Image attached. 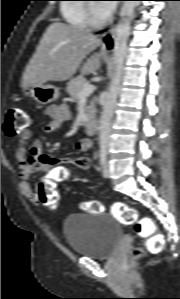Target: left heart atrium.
Returning a JSON list of instances; mask_svg holds the SVG:
<instances>
[{"label": "left heart atrium", "mask_w": 180, "mask_h": 299, "mask_svg": "<svg viewBox=\"0 0 180 299\" xmlns=\"http://www.w3.org/2000/svg\"><path fill=\"white\" fill-rule=\"evenodd\" d=\"M107 2L109 3L99 4L100 10L103 12L105 16H109L115 10L116 7L115 3H111L113 1H107Z\"/></svg>", "instance_id": "1"}]
</instances>
